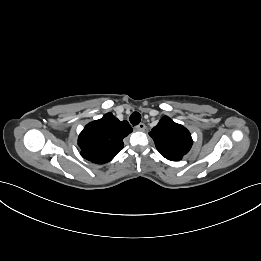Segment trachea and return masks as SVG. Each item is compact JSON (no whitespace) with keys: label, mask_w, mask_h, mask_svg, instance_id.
Returning <instances> with one entry per match:
<instances>
[{"label":"trachea","mask_w":261,"mask_h":261,"mask_svg":"<svg viewBox=\"0 0 261 261\" xmlns=\"http://www.w3.org/2000/svg\"><path fill=\"white\" fill-rule=\"evenodd\" d=\"M141 121V114L139 112H133L130 116V122L132 125H138Z\"/></svg>","instance_id":"1"}]
</instances>
